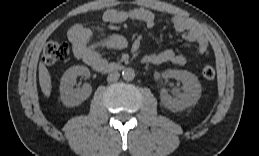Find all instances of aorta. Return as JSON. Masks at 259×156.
<instances>
[{"instance_id": "obj_1", "label": "aorta", "mask_w": 259, "mask_h": 156, "mask_svg": "<svg viewBox=\"0 0 259 156\" xmlns=\"http://www.w3.org/2000/svg\"><path fill=\"white\" fill-rule=\"evenodd\" d=\"M122 77L124 80L126 81H131L134 79L135 77V71L134 69L132 68H125L123 71H122Z\"/></svg>"}]
</instances>
